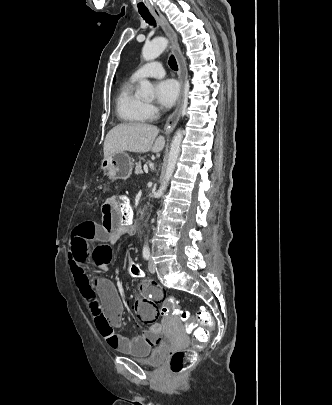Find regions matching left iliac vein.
I'll return each instance as SVG.
<instances>
[{
  "instance_id": "1",
  "label": "left iliac vein",
  "mask_w": 332,
  "mask_h": 405,
  "mask_svg": "<svg viewBox=\"0 0 332 405\" xmlns=\"http://www.w3.org/2000/svg\"><path fill=\"white\" fill-rule=\"evenodd\" d=\"M148 269L151 273H155V271H156V267L154 265V261H153L152 257H150V259H149Z\"/></svg>"
}]
</instances>
